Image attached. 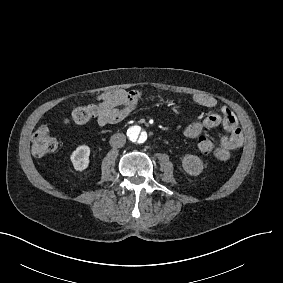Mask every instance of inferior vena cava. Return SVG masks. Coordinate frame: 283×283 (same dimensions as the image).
Segmentation results:
<instances>
[{
  "mask_svg": "<svg viewBox=\"0 0 283 283\" xmlns=\"http://www.w3.org/2000/svg\"><path fill=\"white\" fill-rule=\"evenodd\" d=\"M126 143V136L123 133H116L110 138V145L115 148H121Z\"/></svg>",
  "mask_w": 283,
  "mask_h": 283,
  "instance_id": "obj_1",
  "label": "inferior vena cava"
}]
</instances>
